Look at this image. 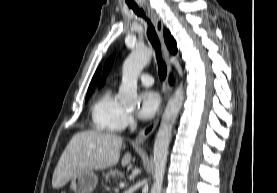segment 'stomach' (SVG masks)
<instances>
[{
    "label": "stomach",
    "mask_w": 277,
    "mask_h": 193,
    "mask_svg": "<svg viewBox=\"0 0 277 193\" xmlns=\"http://www.w3.org/2000/svg\"><path fill=\"white\" fill-rule=\"evenodd\" d=\"M98 182V177L93 171H87L74 176L70 187L74 193H92Z\"/></svg>",
    "instance_id": "0dacf381"
}]
</instances>
